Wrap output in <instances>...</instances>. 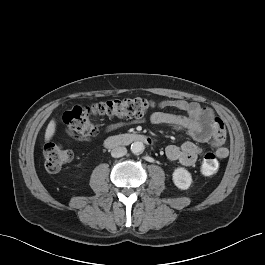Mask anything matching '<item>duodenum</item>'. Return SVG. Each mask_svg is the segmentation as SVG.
Wrapping results in <instances>:
<instances>
[{
    "label": "duodenum",
    "instance_id": "obj_1",
    "mask_svg": "<svg viewBox=\"0 0 265 265\" xmlns=\"http://www.w3.org/2000/svg\"><path fill=\"white\" fill-rule=\"evenodd\" d=\"M136 142L152 143V138L139 134V133H127L122 135H116L108 137L104 144L107 148H115L119 146L130 145Z\"/></svg>",
    "mask_w": 265,
    "mask_h": 265
}]
</instances>
